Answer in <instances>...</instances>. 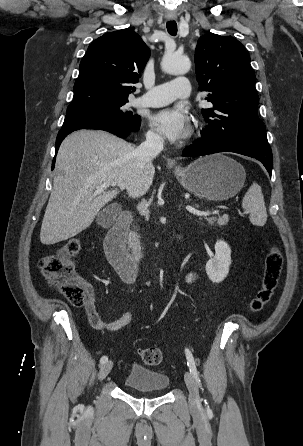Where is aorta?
Returning a JSON list of instances; mask_svg holds the SVG:
<instances>
[{"instance_id":"1","label":"aorta","mask_w":303,"mask_h":446,"mask_svg":"<svg viewBox=\"0 0 303 446\" xmlns=\"http://www.w3.org/2000/svg\"><path fill=\"white\" fill-rule=\"evenodd\" d=\"M162 70L169 74H185L190 69V62L184 56L165 54L161 63Z\"/></svg>"}]
</instances>
